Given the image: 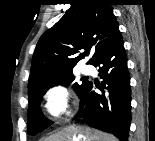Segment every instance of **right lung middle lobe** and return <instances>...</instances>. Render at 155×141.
Returning a JSON list of instances; mask_svg holds the SVG:
<instances>
[{"label":"right lung middle lobe","instance_id":"1","mask_svg":"<svg viewBox=\"0 0 155 141\" xmlns=\"http://www.w3.org/2000/svg\"><path fill=\"white\" fill-rule=\"evenodd\" d=\"M75 79L72 71L58 74L49 78L42 80L41 82L33 85L28 88V97H29V108L27 113L28 119V133L34 135L35 133L43 131L45 128L51 125V122L48 121L42 114L39 109V101L42 98L43 94L50 88L56 85H70ZM82 83H74V89L79 95L87 84V80L81 79Z\"/></svg>","mask_w":155,"mask_h":141}]
</instances>
